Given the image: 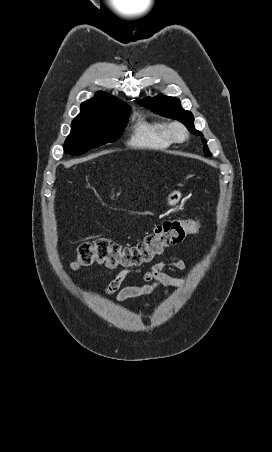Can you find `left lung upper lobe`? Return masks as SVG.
<instances>
[{"label": "left lung upper lobe", "instance_id": "5c2ea615", "mask_svg": "<svg viewBox=\"0 0 272 452\" xmlns=\"http://www.w3.org/2000/svg\"><path fill=\"white\" fill-rule=\"evenodd\" d=\"M139 104L145 106L146 108L151 109L155 113H158L162 116L177 119L180 122L184 123L185 126L196 135H202V133L194 128V117L191 112L184 110L181 107L180 101L177 98L158 95L154 98H146L144 100H140ZM203 150L205 156H211V153L206 145L205 139H203Z\"/></svg>", "mask_w": 272, "mask_h": 452}]
</instances>
